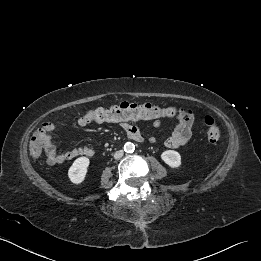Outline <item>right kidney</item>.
Here are the masks:
<instances>
[{
    "mask_svg": "<svg viewBox=\"0 0 261 261\" xmlns=\"http://www.w3.org/2000/svg\"><path fill=\"white\" fill-rule=\"evenodd\" d=\"M90 160L87 157L77 158L68 170V176L72 183L80 184L85 180Z\"/></svg>",
    "mask_w": 261,
    "mask_h": 261,
    "instance_id": "right-kidney-1",
    "label": "right kidney"
}]
</instances>
